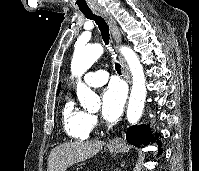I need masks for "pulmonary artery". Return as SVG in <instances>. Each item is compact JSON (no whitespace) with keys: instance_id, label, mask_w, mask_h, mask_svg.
Returning a JSON list of instances; mask_svg holds the SVG:
<instances>
[{"instance_id":"pulmonary-artery-1","label":"pulmonary artery","mask_w":199,"mask_h":171,"mask_svg":"<svg viewBox=\"0 0 199 171\" xmlns=\"http://www.w3.org/2000/svg\"><path fill=\"white\" fill-rule=\"evenodd\" d=\"M108 80V73L104 70H98L94 72H88L85 77L84 81L87 85L98 87L103 85Z\"/></svg>"}]
</instances>
